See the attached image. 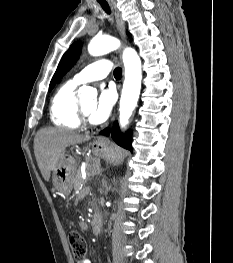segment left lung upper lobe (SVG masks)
<instances>
[{
  "mask_svg": "<svg viewBox=\"0 0 233 263\" xmlns=\"http://www.w3.org/2000/svg\"><path fill=\"white\" fill-rule=\"evenodd\" d=\"M81 52V43L80 42H74L70 48L67 50V52L63 55L57 70L52 77V80L50 82L49 90H51L56 82L60 79L62 75H64L77 61L79 55Z\"/></svg>",
  "mask_w": 233,
  "mask_h": 263,
  "instance_id": "1",
  "label": "left lung upper lobe"
}]
</instances>
